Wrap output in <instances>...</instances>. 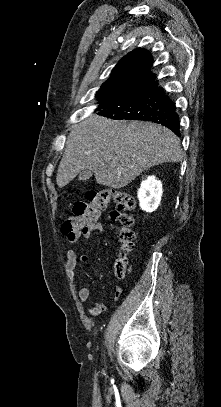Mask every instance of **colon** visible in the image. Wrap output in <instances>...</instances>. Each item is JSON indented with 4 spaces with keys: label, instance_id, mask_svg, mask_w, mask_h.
I'll return each instance as SVG.
<instances>
[{
    "label": "colon",
    "instance_id": "5ec220e1",
    "mask_svg": "<svg viewBox=\"0 0 221 407\" xmlns=\"http://www.w3.org/2000/svg\"><path fill=\"white\" fill-rule=\"evenodd\" d=\"M87 202L76 203L73 214L64 221L61 232L71 240H77L80 236H89L97 233L99 229V214L105 211L110 201L115 205L111 213L112 219L120 223L117 228L118 240L123 252H129L134 248L135 233L131 226L134 222L133 216L123 214L134 208V197L117 188H105L99 191H91L87 195ZM126 272V259L119 256L114 265V273L123 278Z\"/></svg>",
    "mask_w": 221,
    "mask_h": 407
}]
</instances>
